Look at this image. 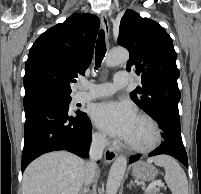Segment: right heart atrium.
I'll list each match as a JSON object with an SVG mask.
<instances>
[{"label":"right heart atrium","instance_id":"1","mask_svg":"<svg viewBox=\"0 0 201 194\" xmlns=\"http://www.w3.org/2000/svg\"><path fill=\"white\" fill-rule=\"evenodd\" d=\"M93 141L98 147H103L107 143L106 137L100 132H94Z\"/></svg>","mask_w":201,"mask_h":194}]
</instances>
